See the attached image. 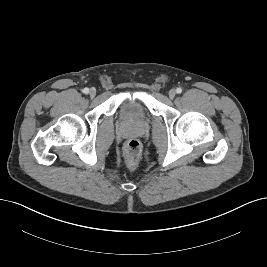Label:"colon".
I'll return each instance as SVG.
<instances>
[{"instance_id":"1","label":"colon","mask_w":267,"mask_h":267,"mask_svg":"<svg viewBox=\"0 0 267 267\" xmlns=\"http://www.w3.org/2000/svg\"><path fill=\"white\" fill-rule=\"evenodd\" d=\"M140 155H141V145L139 141L136 139L129 140L124 148V156L127 165L130 168L135 169L138 165Z\"/></svg>"}]
</instances>
